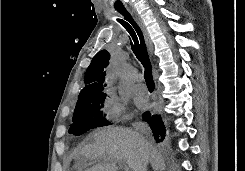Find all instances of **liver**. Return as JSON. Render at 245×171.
<instances>
[{"mask_svg":"<svg viewBox=\"0 0 245 171\" xmlns=\"http://www.w3.org/2000/svg\"><path fill=\"white\" fill-rule=\"evenodd\" d=\"M94 142L81 149V155L104 161L87 171H117V162L124 161L132 171H141L144 164H151L154 171H164V159L157 148L141 134L128 128L98 130Z\"/></svg>","mask_w":245,"mask_h":171,"instance_id":"1","label":"liver"}]
</instances>
